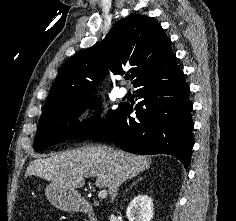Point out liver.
Segmentation results:
<instances>
[{
  "mask_svg": "<svg viewBox=\"0 0 236 221\" xmlns=\"http://www.w3.org/2000/svg\"><path fill=\"white\" fill-rule=\"evenodd\" d=\"M151 159L101 146H86L33 160L25 177L35 175L75 191L85 178L95 177V186L112 192L116 183L132 179L150 168Z\"/></svg>",
  "mask_w": 236,
  "mask_h": 221,
  "instance_id": "obj_1",
  "label": "liver"
}]
</instances>
